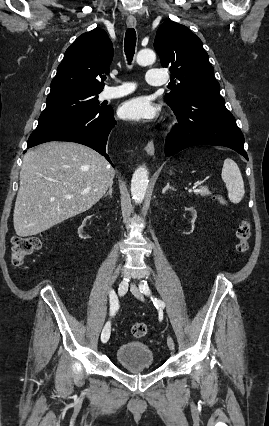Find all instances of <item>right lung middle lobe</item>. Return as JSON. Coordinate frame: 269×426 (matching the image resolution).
Masks as SVG:
<instances>
[{
    "mask_svg": "<svg viewBox=\"0 0 269 426\" xmlns=\"http://www.w3.org/2000/svg\"><path fill=\"white\" fill-rule=\"evenodd\" d=\"M99 93L77 89L50 92L37 128L100 111Z\"/></svg>",
    "mask_w": 269,
    "mask_h": 426,
    "instance_id": "obj_1",
    "label": "right lung middle lobe"
}]
</instances>
